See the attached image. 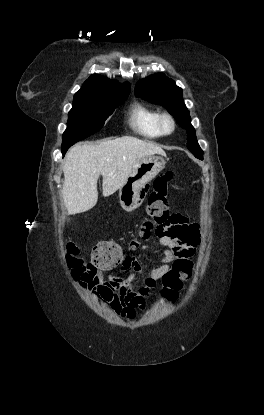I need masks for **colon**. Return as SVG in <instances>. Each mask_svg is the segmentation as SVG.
<instances>
[{"label": "colon", "mask_w": 264, "mask_h": 415, "mask_svg": "<svg viewBox=\"0 0 264 415\" xmlns=\"http://www.w3.org/2000/svg\"><path fill=\"white\" fill-rule=\"evenodd\" d=\"M174 178L171 170L161 173L155 181V189L151 193L147 213L141 238L148 239L152 233L157 236H166L172 233V216L169 214L168 189ZM133 249L134 245H129ZM126 258L125 248L114 240H107L98 243L92 249L89 259L84 260L78 256L77 248L74 244L67 245L66 259L68 268L75 274L88 272L95 274L101 270H108L123 262ZM192 267L189 261H177L173 264L171 271L162 279L161 294L168 300H175L183 284V276ZM126 290L121 289L117 295V300L123 299Z\"/></svg>", "instance_id": "obj_1"}]
</instances>
